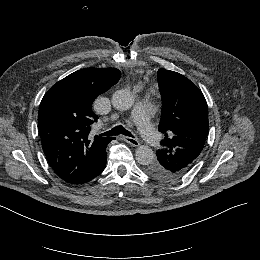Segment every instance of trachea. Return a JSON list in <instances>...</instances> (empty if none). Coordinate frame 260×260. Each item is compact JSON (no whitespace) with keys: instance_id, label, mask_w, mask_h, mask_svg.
<instances>
[{"instance_id":"trachea-1","label":"trachea","mask_w":260,"mask_h":260,"mask_svg":"<svg viewBox=\"0 0 260 260\" xmlns=\"http://www.w3.org/2000/svg\"><path fill=\"white\" fill-rule=\"evenodd\" d=\"M120 134L129 136V137H133L132 133L130 131H128L127 129H125L123 126H116L113 129H111L107 132L101 133L99 135L100 136H115V135H120Z\"/></svg>"}]
</instances>
